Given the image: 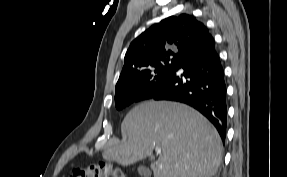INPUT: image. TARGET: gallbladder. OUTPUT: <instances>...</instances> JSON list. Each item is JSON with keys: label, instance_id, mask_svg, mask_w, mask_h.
Wrapping results in <instances>:
<instances>
[{"label": "gallbladder", "instance_id": "1", "mask_svg": "<svg viewBox=\"0 0 287 177\" xmlns=\"http://www.w3.org/2000/svg\"><path fill=\"white\" fill-rule=\"evenodd\" d=\"M138 172H139V174H141V175H148V174L150 173L149 169L146 168L145 166H140V167L138 168Z\"/></svg>", "mask_w": 287, "mask_h": 177}]
</instances>
